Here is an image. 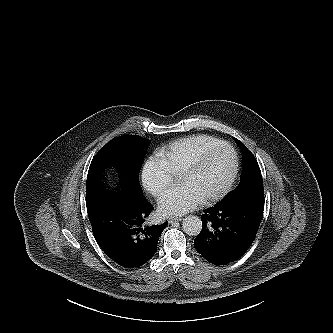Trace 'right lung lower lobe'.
Instances as JSON below:
<instances>
[{"mask_svg": "<svg viewBox=\"0 0 333 333\" xmlns=\"http://www.w3.org/2000/svg\"><path fill=\"white\" fill-rule=\"evenodd\" d=\"M86 206L97 244L115 263L137 268L154 256L168 222L143 225L153 210L145 198L105 195Z\"/></svg>", "mask_w": 333, "mask_h": 333, "instance_id": "1", "label": "right lung lower lobe"}]
</instances>
